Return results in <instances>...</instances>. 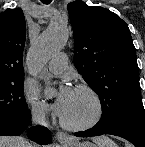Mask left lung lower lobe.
I'll return each mask as SVG.
<instances>
[{"instance_id":"left-lung-lower-lobe-1","label":"left lung lower lobe","mask_w":145,"mask_h":147,"mask_svg":"<svg viewBox=\"0 0 145 147\" xmlns=\"http://www.w3.org/2000/svg\"><path fill=\"white\" fill-rule=\"evenodd\" d=\"M103 134L120 136L130 141L136 147H145V114L123 119L107 128L94 126L86 131L75 133V136L90 137Z\"/></svg>"}]
</instances>
